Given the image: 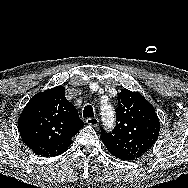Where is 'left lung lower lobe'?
<instances>
[{"label":"left lung lower lobe","instance_id":"1","mask_svg":"<svg viewBox=\"0 0 188 188\" xmlns=\"http://www.w3.org/2000/svg\"><path fill=\"white\" fill-rule=\"evenodd\" d=\"M104 145L106 146L107 150L116 158L122 159V160H132L134 159L129 154L119 150L117 147L113 146L111 143L107 141H102Z\"/></svg>","mask_w":188,"mask_h":188}]
</instances>
